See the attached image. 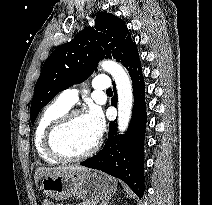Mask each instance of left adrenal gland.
<instances>
[{"mask_svg": "<svg viewBox=\"0 0 212 205\" xmlns=\"http://www.w3.org/2000/svg\"><path fill=\"white\" fill-rule=\"evenodd\" d=\"M100 205H108L107 202H102Z\"/></svg>", "mask_w": 212, "mask_h": 205, "instance_id": "a2214340", "label": "left adrenal gland"}]
</instances>
